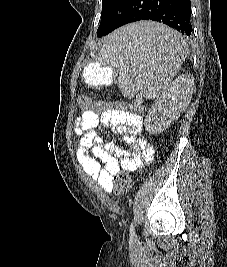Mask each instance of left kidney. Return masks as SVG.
<instances>
[{
    "instance_id": "left-kidney-1",
    "label": "left kidney",
    "mask_w": 227,
    "mask_h": 267,
    "mask_svg": "<svg viewBox=\"0 0 227 267\" xmlns=\"http://www.w3.org/2000/svg\"><path fill=\"white\" fill-rule=\"evenodd\" d=\"M194 89V77L190 74L178 76L151 106L145 121L150 134H159L177 119L189 104Z\"/></svg>"
}]
</instances>
